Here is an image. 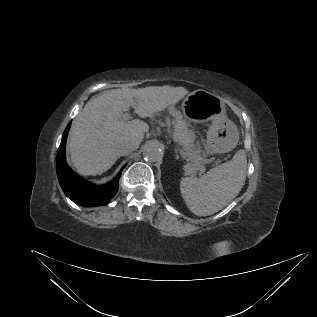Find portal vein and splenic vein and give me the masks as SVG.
Wrapping results in <instances>:
<instances>
[{"label": "portal vein and splenic vein", "instance_id": "18ae733b", "mask_svg": "<svg viewBox=\"0 0 317 317\" xmlns=\"http://www.w3.org/2000/svg\"><path fill=\"white\" fill-rule=\"evenodd\" d=\"M122 118L125 120H128L131 118V116L128 113H126V114H122ZM193 170H198V168H196L195 166H190V171H193ZM201 170H204V169L201 168Z\"/></svg>", "mask_w": 317, "mask_h": 317}]
</instances>
